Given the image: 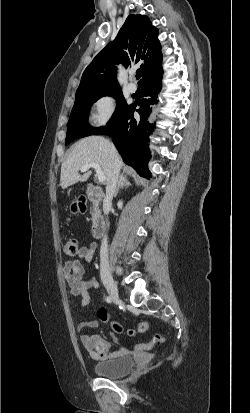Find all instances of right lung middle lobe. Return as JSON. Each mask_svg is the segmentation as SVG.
Here are the masks:
<instances>
[{"instance_id": "obj_1", "label": "right lung middle lobe", "mask_w": 250, "mask_h": 413, "mask_svg": "<svg viewBox=\"0 0 250 413\" xmlns=\"http://www.w3.org/2000/svg\"><path fill=\"white\" fill-rule=\"evenodd\" d=\"M106 95L114 96L117 99L116 111L111 120L127 106L126 101L123 99L121 89H110L76 95L75 103L68 122L65 145L77 138L90 136L102 128L92 127L88 123V114L91 105L100 97Z\"/></svg>"}]
</instances>
